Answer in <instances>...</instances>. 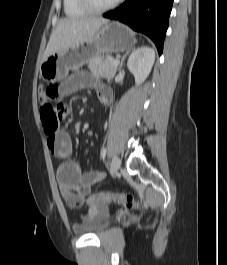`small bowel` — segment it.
Returning <instances> with one entry per match:
<instances>
[{
  "label": "small bowel",
  "mask_w": 227,
  "mask_h": 265,
  "mask_svg": "<svg viewBox=\"0 0 227 265\" xmlns=\"http://www.w3.org/2000/svg\"><path fill=\"white\" fill-rule=\"evenodd\" d=\"M89 76H92V73L75 72L64 81H55L54 85L60 86L59 91L63 95L91 88L98 91L103 103H108L110 101L109 91L99 86ZM57 111L65 112V117L72 112V107L62 100V103H57ZM47 143L50 152L56 158L63 160L57 169V181L64 202L72 210L82 208L88 204L93 185L101 181L104 174L100 171H83L79 163L69 159L73 151V144L68 133L57 130L54 134L48 135ZM94 215L95 212L91 211L85 218L92 219Z\"/></svg>",
  "instance_id": "1"
}]
</instances>
